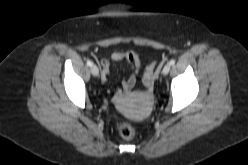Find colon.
Wrapping results in <instances>:
<instances>
[{"instance_id": "5ec220e1", "label": "colon", "mask_w": 248, "mask_h": 165, "mask_svg": "<svg viewBox=\"0 0 248 165\" xmlns=\"http://www.w3.org/2000/svg\"><path fill=\"white\" fill-rule=\"evenodd\" d=\"M156 77V62H151L144 73L143 84L148 91L153 89ZM116 131L123 139L131 140L136 137V129L127 122H119L116 125Z\"/></svg>"}]
</instances>
